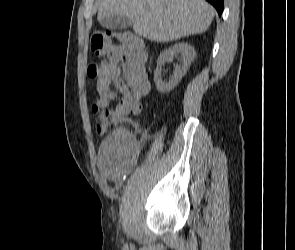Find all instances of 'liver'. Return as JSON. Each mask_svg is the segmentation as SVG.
<instances>
[{
	"mask_svg": "<svg viewBox=\"0 0 295 250\" xmlns=\"http://www.w3.org/2000/svg\"><path fill=\"white\" fill-rule=\"evenodd\" d=\"M124 15L133 31L154 42L205 32L215 15L205 0H101L97 19Z\"/></svg>",
	"mask_w": 295,
	"mask_h": 250,
	"instance_id": "obj_1",
	"label": "liver"
}]
</instances>
